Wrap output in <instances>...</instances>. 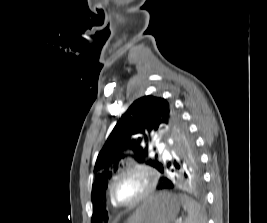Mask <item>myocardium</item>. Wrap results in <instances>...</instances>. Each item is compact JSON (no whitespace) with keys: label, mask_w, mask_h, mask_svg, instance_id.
Here are the masks:
<instances>
[{"label":"myocardium","mask_w":267,"mask_h":223,"mask_svg":"<svg viewBox=\"0 0 267 223\" xmlns=\"http://www.w3.org/2000/svg\"><path fill=\"white\" fill-rule=\"evenodd\" d=\"M130 172H140L141 174H143L147 178V186L144 189V191L134 200L128 201V202H122L116 198L114 188H115L116 182L122 176ZM158 179H159L158 173L153 167L145 163H140V162L129 163L123 169L118 171L111 179V182L109 184V195H110L111 201L113 202L114 205L122 207V208L134 207L142 203L146 199H148L153 194V192L156 189Z\"/></svg>","instance_id":"myocardium-1"}]
</instances>
